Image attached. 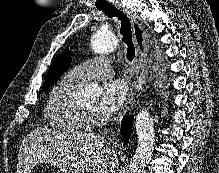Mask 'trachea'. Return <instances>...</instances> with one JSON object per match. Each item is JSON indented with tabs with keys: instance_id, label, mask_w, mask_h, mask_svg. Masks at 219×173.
Here are the masks:
<instances>
[{
	"instance_id": "3493384b",
	"label": "trachea",
	"mask_w": 219,
	"mask_h": 173,
	"mask_svg": "<svg viewBox=\"0 0 219 173\" xmlns=\"http://www.w3.org/2000/svg\"><path fill=\"white\" fill-rule=\"evenodd\" d=\"M98 10H102L108 17H117L120 20V34L122 35V41L127 46L126 56L130 62L133 61L135 58V46L132 40L131 23L127 15L113 5L99 7Z\"/></svg>"
}]
</instances>
